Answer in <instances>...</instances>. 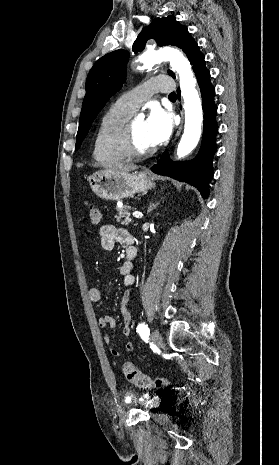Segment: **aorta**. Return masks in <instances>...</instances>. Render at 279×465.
<instances>
[{"label":"aorta","mask_w":279,"mask_h":465,"mask_svg":"<svg viewBox=\"0 0 279 465\" xmlns=\"http://www.w3.org/2000/svg\"><path fill=\"white\" fill-rule=\"evenodd\" d=\"M163 60L170 61V66L179 75L181 96L184 101V133L177 147V156L181 158L188 155L199 142L203 121L202 104L196 89V80L190 62L181 52L176 49H165L151 54H144L139 58V61L143 63V67Z\"/></svg>","instance_id":"762f6f07"}]
</instances>
